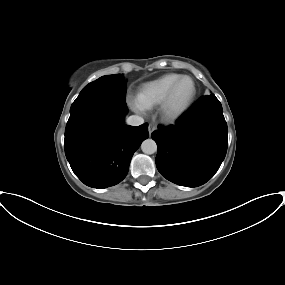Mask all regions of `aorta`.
<instances>
[{"label": "aorta", "mask_w": 285, "mask_h": 285, "mask_svg": "<svg viewBox=\"0 0 285 285\" xmlns=\"http://www.w3.org/2000/svg\"><path fill=\"white\" fill-rule=\"evenodd\" d=\"M141 150L145 154H154L157 151V144L152 139H146L141 144Z\"/></svg>", "instance_id": "1"}]
</instances>
